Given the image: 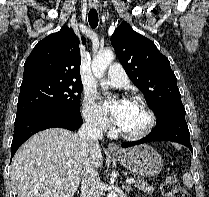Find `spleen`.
<instances>
[{
	"instance_id": "spleen-1",
	"label": "spleen",
	"mask_w": 209,
	"mask_h": 197,
	"mask_svg": "<svg viewBox=\"0 0 209 197\" xmlns=\"http://www.w3.org/2000/svg\"><path fill=\"white\" fill-rule=\"evenodd\" d=\"M183 182L189 188L193 186V179L190 173H186L183 175Z\"/></svg>"
}]
</instances>
